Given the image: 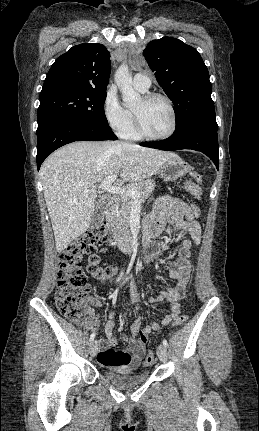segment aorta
<instances>
[{"label": "aorta", "instance_id": "aorta-1", "mask_svg": "<svg viewBox=\"0 0 259 431\" xmlns=\"http://www.w3.org/2000/svg\"><path fill=\"white\" fill-rule=\"evenodd\" d=\"M115 82L122 94L126 107L133 108L141 101V96L132 87V75L127 65H121L115 73Z\"/></svg>", "mask_w": 259, "mask_h": 431}]
</instances>
